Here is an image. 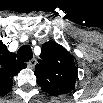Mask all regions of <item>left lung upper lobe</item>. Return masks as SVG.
<instances>
[{
    "instance_id": "left-lung-upper-lobe-1",
    "label": "left lung upper lobe",
    "mask_w": 103,
    "mask_h": 103,
    "mask_svg": "<svg viewBox=\"0 0 103 103\" xmlns=\"http://www.w3.org/2000/svg\"><path fill=\"white\" fill-rule=\"evenodd\" d=\"M42 48L40 57L43 60L34 72L37 83L51 95L70 92L78 78L72 55L54 41L44 43Z\"/></svg>"
}]
</instances>
